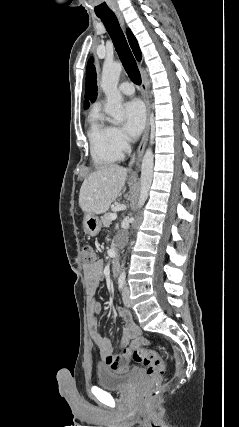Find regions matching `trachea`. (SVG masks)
Instances as JSON below:
<instances>
[{
    "mask_svg": "<svg viewBox=\"0 0 239 427\" xmlns=\"http://www.w3.org/2000/svg\"><path fill=\"white\" fill-rule=\"evenodd\" d=\"M103 22L114 44L115 50L129 76L137 85L141 84V75L124 33L114 14L98 16Z\"/></svg>",
    "mask_w": 239,
    "mask_h": 427,
    "instance_id": "obj_1",
    "label": "trachea"
}]
</instances>
